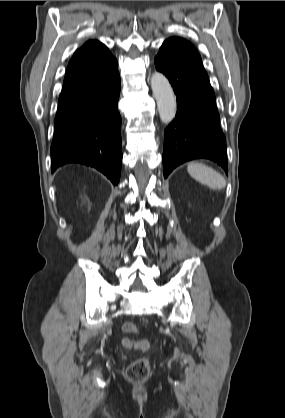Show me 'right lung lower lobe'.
<instances>
[{
	"label": "right lung lower lobe",
	"instance_id": "right-lung-lower-lobe-1",
	"mask_svg": "<svg viewBox=\"0 0 285 418\" xmlns=\"http://www.w3.org/2000/svg\"><path fill=\"white\" fill-rule=\"evenodd\" d=\"M118 70L98 85L59 102L51 145V171L68 163L95 167L114 185L120 179L121 116Z\"/></svg>",
	"mask_w": 285,
	"mask_h": 418
}]
</instances>
